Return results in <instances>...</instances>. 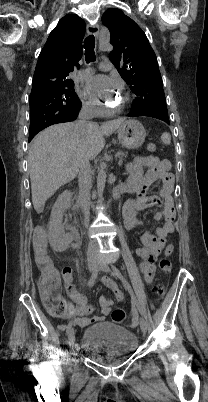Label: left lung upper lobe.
Returning <instances> with one entry per match:
<instances>
[{"instance_id": "1", "label": "left lung upper lobe", "mask_w": 208, "mask_h": 402, "mask_svg": "<svg viewBox=\"0 0 208 402\" xmlns=\"http://www.w3.org/2000/svg\"><path fill=\"white\" fill-rule=\"evenodd\" d=\"M102 23L109 29L114 46L109 58L137 95L130 111L168 119L157 58L145 33L117 8L106 10Z\"/></svg>"}]
</instances>
